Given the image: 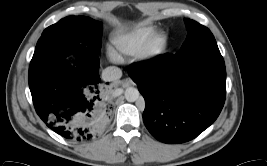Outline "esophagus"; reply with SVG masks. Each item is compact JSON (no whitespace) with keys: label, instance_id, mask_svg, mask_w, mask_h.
Listing matches in <instances>:
<instances>
[{"label":"esophagus","instance_id":"esophagus-1","mask_svg":"<svg viewBox=\"0 0 267 166\" xmlns=\"http://www.w3.org/2000/svg\"><path fill=\"white\" fill-rule=\"evenodd\" d=\"M130 84H132V81H131V80L123 82V83H122V86H123V87H127V86H129Z\"/></svg>","mask_w":267,"mask_h":166}]
</instances>
